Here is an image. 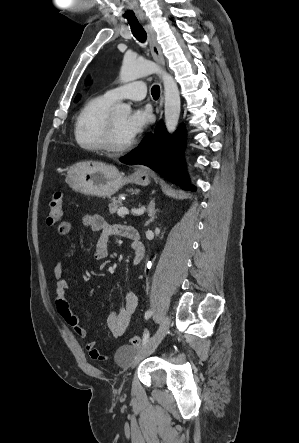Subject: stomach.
<instances>
[{
	"instance_id": "obj_1",
	"label": "stomach",
	"mask_w": 299,
	"mask_h": 443,
	"mask_svg": "<svg viewBox=\"0 0 299 443\" xmlns=\"http://www.w3.org/2000/svg\"><path fill=\"white\" fill-rule=\"evenodd\" d=\"M65 181L76 192L110 197L126 183L146 186L150 183V178L147 173L140 171L123 177L112 165L77 163L67 171Z\"/></svg>"
}]
</instances>
